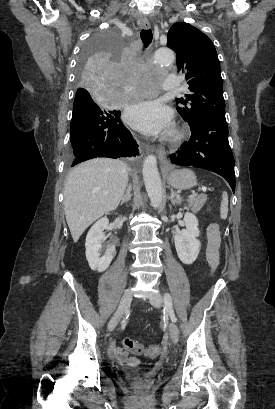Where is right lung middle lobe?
<instances>
[{
	"instance_id": "obj_1",
	"label": "right lung middle lobe",
	"mask_w": 275,
	"mask_h": 409,
	"mask_svg": "<svg viewBox=\"0 0 275 409\" xmlns=\"http://www.w3.org/2000/svg\"><path fill=\"white\" fill-rule=\"evenodd\" d=\"M127 38L123 30H96L85 43L83 57L74 71L79 89L73 105L70 124L71 146L62 177L68 178L74 166L89 159L109 157L114 162H127L139 155L138 144L121 122V110L126 96H110L106 91H129V82H122L123 72L117 70L119 59L115 51H126ZM144 164L130 162L132 169Z\"/></svg>"
}]
</instances>
